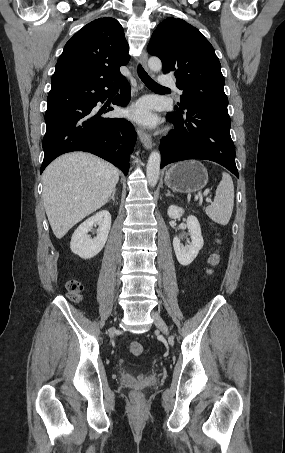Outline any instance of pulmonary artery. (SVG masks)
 Segmentation results:
<instances>
[{"label": "pulmonary artery", "mask_w": 285, "mask_h": 453, "mask_svg": "<svg viewBox=\"0 0 285 453\" xmlns=\"http://www.w3.org/2000/svg\"><path fill=\"white\" fill-rule=\"evenodd\" d=\"M159 82L164 85L171 86L175 89L177 93H181V91L176 87L174 81L166 76H160L159 77Z\"/></svg>", "instance_id": "1"}]
</instances>
